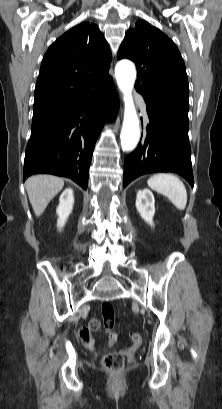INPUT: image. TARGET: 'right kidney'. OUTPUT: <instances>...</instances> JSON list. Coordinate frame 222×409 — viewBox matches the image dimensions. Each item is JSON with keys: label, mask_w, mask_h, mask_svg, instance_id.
<instances>
[{"label": "right kidney", "mask_w": 222, "mask_h": 409, "mask_svg": "<svg viewBox=\"0 0 222 409\" xmlns=\"http://www.w3.org/2000/svg\"><path fill=\"white\" fill-rule=\"evenodd\" d=\"M74 204V196L72 188L65 189L60 198L59 206L57 207L56 213L58 215L57 227L59 229L63 228L65 225L68 216L70 215Z\"/></svg>", "instance_id": "1"}]
</instances>
